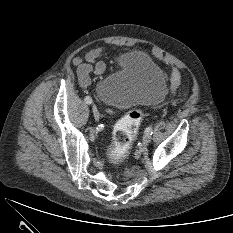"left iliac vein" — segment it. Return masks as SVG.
<instances>
[{
	"label": "left iliac vein",
	"mask_w": 233,
	"mask_h": 233,
	"mask_svg": "<svg viewBox=\"0 0 233 233\" xmlns=\"http://www.w3.org/2000/svg\"><path fill=\"white\" fill-rule=\"evenodd\" d=\"M144 144H148L151 141V134L150 133H145L142 139Z\"/></svg>",
	"instance_id": "4c4485c4"
}]
</instances>
